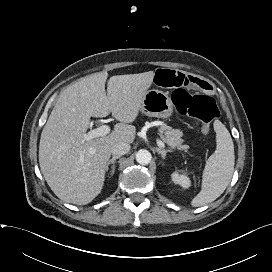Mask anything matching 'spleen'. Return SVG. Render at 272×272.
Wrapping results in <instances>:
<instances>
[{
  "instance_id": "spleen-1",
  "label": "spleen",
  "mask_w": 272,
  "mask_h": 272,
  "mask_svg": "<svg viewBox=\"0 0 272 272\" xmlns=\"http://www.w3.org/2000/svg\"><path fill=\"white\" fill-rule=\"evenodd\" d=\"M216 132V150L208 158L202 177V189L191 202L200 207L215 201L227 188L233 175L235 155L231 135L221 121L213 123Z\"/></svg>"
}]
</instances>
